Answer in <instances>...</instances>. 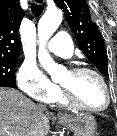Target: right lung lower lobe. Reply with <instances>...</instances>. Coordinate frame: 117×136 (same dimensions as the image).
Here are the masks:
<instances>
[{
    "label": "right lung lower lobe",
    "instance_id": "1",
    "mask_svg": "<svg viewBox=\"0 0 117 136\" xmlns=\"http://www.w3.org/2000/svg\"><path fill=\"white\" fill-rule=\"evenodd\" d=\"M0 87L16 88V85L15 84H11V83H0Z\"/></svg>",
    "mask_w": 117,
    "mask_h": 136
}]
</instances>
